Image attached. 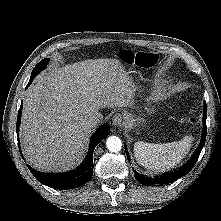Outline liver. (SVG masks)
<instances>
[{
    "label": "liver",
    "instance_id": "liver-1",
    "mask_svg": "<svg viewBox=\"0 0 221 221\" xmlns=\"http://www.w3.org/2000/svg\"><path fill=\"white\" fill-rule=\"evenodd\" d=\"M134 86L116 59H89L39 75L23 100L25 157L42 171L75 167L88 147L90 117L102 108L130 106Z\"/></svg>",
    "mask_w": 221,
    "mask_h": 221
}]
</instances>
